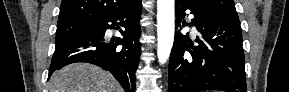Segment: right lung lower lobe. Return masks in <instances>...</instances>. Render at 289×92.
I'll return each instance as SVG.
<instances>
[{
  "mask_svg": "<svg viewBox=\"0 0 289 92\" xmlns=\"http://www.w3.org/2000/svg\"><path fill=\"white\" fill-rule=\"evenodd\" d=\"M141 1L136 0L122 11L99 18L82 33L57 42L48 78L68 64L87 62L110 71L125 92H135V71L141 52ZM115 28L120 29L123 38H105L106 30Z\"/></svg>",
  "mask_w": 289,
  "mask_h": 92,
  "instance_id": "98d812e1",
  "label": "right lung lower lobe"
}]
</instances>
